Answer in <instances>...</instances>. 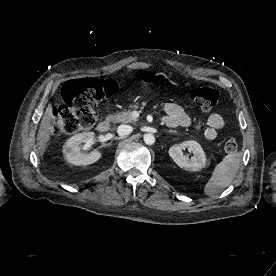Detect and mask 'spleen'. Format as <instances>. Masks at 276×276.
<instances>
[{
  "label": "spleen",
  "mask_w": 276,
  "mask_h": 276,
  "mask_svg": "<svg viewBox=\"0 0 276 276\" xmlns=\"http://www.w3.org/2000/svg\"><path fill=\"white\" fill-rule=\"evenodd\" d=\"M241 162L239 152H231L216 165L211 178L204 187L206 195H214L228 187L236 176Z\"/></svg>",
  "instance_id": "spleen-1"
}]
</instances>
